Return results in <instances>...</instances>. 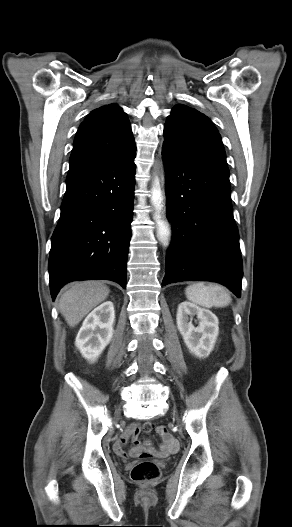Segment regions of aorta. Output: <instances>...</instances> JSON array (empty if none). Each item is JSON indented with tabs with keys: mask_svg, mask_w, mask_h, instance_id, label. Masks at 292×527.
<instances>
[{
	"mask_svg": "<svg viewBox=\"0 0 292 527\" xmlns=\"http://www.w3.org/2000/svg\"><path fill=\"white\" fill-rule=\"evenodd\" d=\"M158 233L159 235L161 236V238L167 242L168 241V237H169V229L167 226H165L164 224L163 225H160L159 228H158Z\"/></svg>",
	"mask_w": 292,
	"mask_h": 527,
	"instance_id": "aorta-1",
	"label": "aorta"
}]
</instances>
